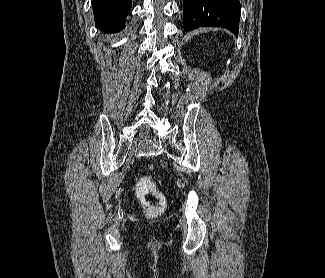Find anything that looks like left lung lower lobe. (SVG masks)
Returning <instances> with one entry per match:
<instances>
[{"label":"left lung lower lobe","instance_id":"0a47b994","mask_svg":"<svg viewBox=\"0 0 325 278\" xmlns=\"http://www.w3.org/2000/svg\"><path fill=\"white\" fill-rule=\"evenodd\" d=\"M239 19V0H183L184 32L200 26H215L237 36Z\"/></svg>","mask_w":325,"mask_h":278}]
</instances>
